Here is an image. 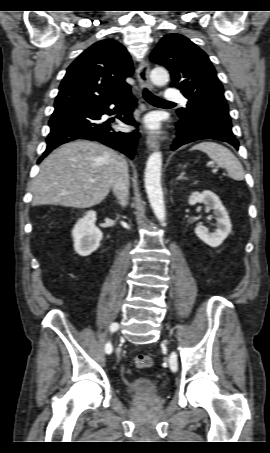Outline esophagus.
Listing matches in <instances>:
<instances>
[{
  "instance_id": "1",
  "label": "esophagus",
  "mask_w": 270,
  "mask_h": 453,
  "mask_svg": "<svg viewBox=\"0 0 270 453\" xmlns=\"http://www.w3.org/2000/svg\"><path fill=\"white\" fill-rule=\"evenodd\" d=\"M150 67L146 61H142L137 69V78L141 87L152 89L153 85L149 78ZM146 145L149 150H156L159 148V141L154 134H149L146 139Z\"/></svg>"
}]
</instances>
